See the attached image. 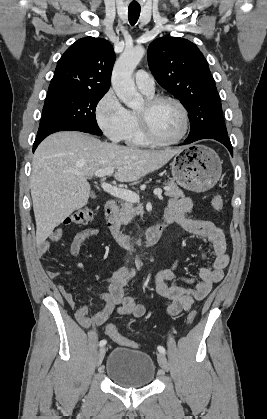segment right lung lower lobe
I'll return each mask as SVG.
<instances>
[{
  "label": "right lung lower lobe",
  "instance_id": "obj_1",
  "mask_svg": "<svg viewBox=\"0 0 267 419\" xmlns=\"http://www.w3.org/2000/svg\"><path fill=\"white\" fill-rule=\"evenodd\" d=\"M66 130L87 132L86 130L69 125L66 122L43 116L39 125V130H38L34 145H33V152L35 151L39 143L48 135L58 132V131H66Z\"/></svg>",
  "mask_w": 267,
  "mask_h": 419
}]
</instances>
